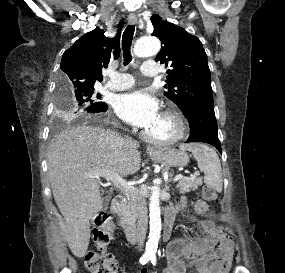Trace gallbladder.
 Masks as SVG:
<instances>
[{
	"label": "gallbladder",
	"instance_id": "1",
	"mask_svg": "<svg viewBox=\"0 0 285 273\" xmlns=\"http://www.w3.org/2000/svg\"><path fill=\"white\" fill-rule=\"evenodd\" d=\"M111 199L110 195H107L103 198V209H106L108 207L109 201Z\"/></svg>",
	"mask_w": 285,
	"mask_h": 273
}]
</instances>
